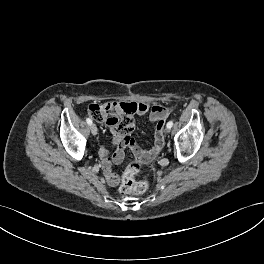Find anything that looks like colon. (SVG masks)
I'll return each mask as SVG.
<instances>
[{"label": "colon", "mask_w": 264, "mask_h": 264, "mask_svg": "<svg viewBox=\"0 0 264 264\" xmlns=\"http://www.w3.org/2000/svg\"><path fill=\"white\" fill-rule=\"evenodd\" d=\"M137 106L134 103H102L91 104L88 107L89 115L96 121L105 122L113 131L129 133L134 128V114ZM164 122L159 121L155 129V143L164 144ZM144 160L137 157L124 170L119 190L124 194H141L146 191L148 184L136 179Z\"/></svg>", "instance_id": "1"}]
</instances>
